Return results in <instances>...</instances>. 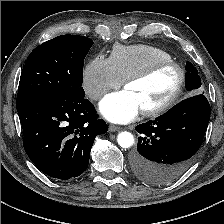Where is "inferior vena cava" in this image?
Returning a JSON list of instances; mask_svg holds the SVG:
<instances>
[{"label": "inferior vena cava", "mask_w": 224, "mask_h": 224, "mask_svg": "<svg viewBox=\"0 0 224 224\" xmlns=\"http://www.w3.org/2000/svg\"><path fill=\"white\" fill-rule=\"evenodd\" d=\"M103 93L102 92H97L93 95L94 98H100L102 97Z\"/></svg>", "instance_id": "inferior-vena-cava-1"}]
</instances>
